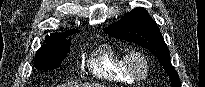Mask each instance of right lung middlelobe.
Masks as SVG:
<instances>
[{"label": "right lung middle lobe", "instance_id": "dd1d6c3e", "mask_svg": "<svg viewBox=\"0 0 205 87\" xmlns=\"http://www.w3.org/2000/svg\"><path fill=\"white\" fill-rule=\"evenodd\" d=\"M70 49V41L46 43L35 55V68L39 71L56 69L65 59Z\"/></svg>", "mask_w": 205, "mask_h": 87}]
</instances>
